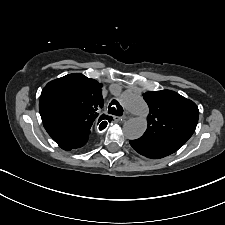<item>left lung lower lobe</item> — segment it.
Instances as JSON below:
<instances>
[{
  "mask_svg": "<svg viewBox=\"0 0 225 225\" xmlns=\"http://www.w3.org/2000/svg\"><path fill=\"white\" fill-rule=\"evenodd\" d=\"M129 143L139 154L150 159H160L176 152L185 142L151 139L142 136L138 139L130 140Z\"/></svg>",
  "mask_w": 225,
  "mask_h": 225,
  "instance_id": "obj_1",
  "label": "left lung lower lobe"
}]
</instances>
